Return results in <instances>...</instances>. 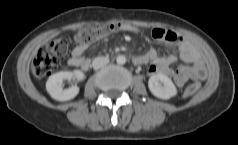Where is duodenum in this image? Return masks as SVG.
<instances>
[{"label":"duodenum","instance_id":"obj_1","mask_svg":"<svg viewBox=\"0 0 238 145\" xmlns=\"http://www.w3.org/2000/svg\"><path fill=\"white\" fill-rule=\"evenodd\" d=\"M132 61L135 65L138 64V58L136 56L132 58Z\"/></svg>","mask_w":238,"mask_h":145}]
</instances>
